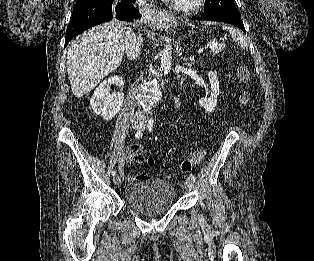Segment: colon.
<instances>
[{
	"label": "colon",
	"instance_id": "5ec220e1",
	"mask_svg": "<svg viewBox=\"0 0 314 261\" xmlns=\"http://www.w3.org/2000/svg\"><path fill=\"white\" fill-rule=\"evenodd\" d=\"M237 76H238V79L240 80V82H242V83H248L249 82L250 75H249V71L246 67L240 66L237 70ZM241 99L244 103H246L249 98H248L247 94H244L241 97ZM204 154L205 153L203 150H198L192 159L184 160L183 162L180 163L179 168H178L179 171H181V172L190 171L196 163L200 162L203 159ZM137 162L139 164L149 165V166H152L154 164V160L145 154L139 155L137 158Z\"/></svg>",
	"mask_w": 314,
	"mask_h": 261
}]
</instances>
